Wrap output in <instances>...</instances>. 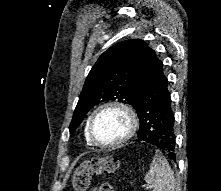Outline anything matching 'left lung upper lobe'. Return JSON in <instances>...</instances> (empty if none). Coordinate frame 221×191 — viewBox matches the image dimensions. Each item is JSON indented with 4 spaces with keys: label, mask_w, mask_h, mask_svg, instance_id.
Instances as JSON below:
<instances>
[{
    "label": "left lung upper lobe",
    "mask_w": 221,
    "mask_h": 191,
    "mask_svg": "<svg viewBox=\"0 0 221 191\" xmlns=\"http://www.w3.org/2000/svg\"><path fill=\"white\" fill-rule=\"evenodd\" d=\"M147 44L143 40L119 42L105 51L89 72L69 130L102 101L118 100L134 107V86Z\"/></svg>",
    "instance_id": "obj_1"
}]
</instances>
